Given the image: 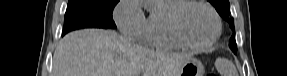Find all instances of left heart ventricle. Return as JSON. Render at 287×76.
<instances>
[{
    "label": "left heart ventricle",
    "instance_id": "obj_1",
    "mask_svg": "<svg viewBox=\"0 0 287 76\" xmlns=\"http://www.w3.org/2000/svg\"><path fill=\"white\" fill-rule=\"evenodd\" d=\"M181 28L193 43H206L215 33V21L208 10L201 6H190L182 14Z\"/></svg>",
    "mask_w": 287,
    "mask_h": 76
}]
</instances>
